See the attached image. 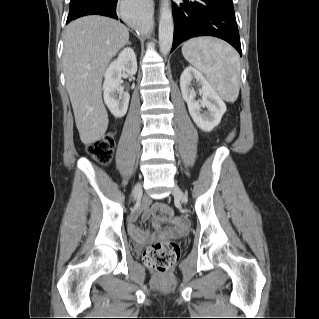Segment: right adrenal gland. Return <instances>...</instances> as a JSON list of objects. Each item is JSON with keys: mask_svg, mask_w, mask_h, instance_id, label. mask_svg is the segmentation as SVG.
<instances>
[{"mask_svg": "<svg viewBox=\"0 0 319 319\" xmlns=\"http://www.w3.org/2000/svg\"><path fill=\"white\" fill-rule=\"evenodd\" d=\"M127 44H128V45H131V42H128Z\"/></svg>", "mask_w": 319, "mask_h": 319, "instance_id": "obj_1", "label": "right adrenal gland"}]
</instances>
